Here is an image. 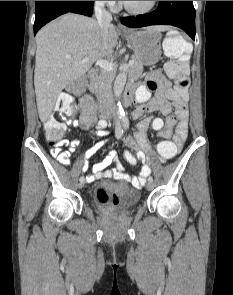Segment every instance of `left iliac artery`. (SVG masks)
<instances>
[{
	"label": "left iliac artery",
	"mask_w": 233,
	"mask_h": 295,
	"mask_svg": "<svg viewBox=\"0 0 233 295\" xmlns=\"http://www.w3.org/2000/svg\"><path fill=\"white\" fill-rule=\"evenodd\" d=\"M122 123H123L124 129H128V127H129V121H128V118L126 116L122 118ZM148 181L149 182H153V177L152 176H149Z\"/></svg>",
	"instance_id": "44dca946"
}]
</instances>
